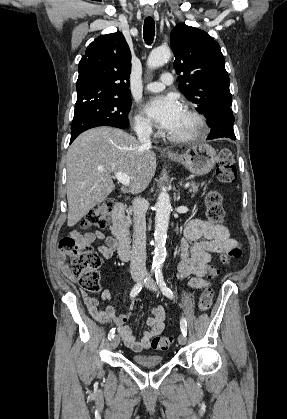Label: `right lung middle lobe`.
Instances as JSON below:
<instances>
[{"instance_id":"dd1d6c3e","label":"right lung middle lobe","mask_w":287,"mask_h":419,"mask_svg":"<svg viewBox=\"0 0 287 419\" xmlns=\"http://www.w3.org/2000/svg\"><path fill=\"white\" fill-rule=\"evenodd\" d=\"M130 108V97L105 99L75 108L71 137L97 126L125 129L129 126Z\"/></svg>"}]
</instances>
